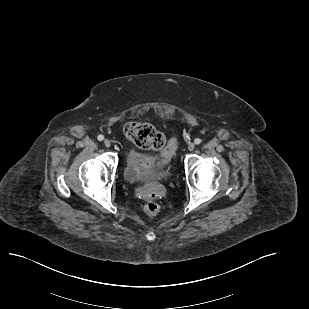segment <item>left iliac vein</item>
Wrapping results in <instances>:
<instances>
[{
  "label": "left iliac vein",
  "instance_id": "obj_1",
  "mask_svg": "<svg viewBox=\"0 0 309 309\" xmlns=\"http://www.w3.org/2000/svg\"><path fill=\"white\" fill-rule=\"evenodd\" d=\"M194 148H195V144H194V143H189V144H188V149H189L190 151L194 150Z\"/></svg>",
  "mask_w": 309,
  "mask_h": 309
}]
</instances>
